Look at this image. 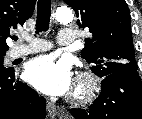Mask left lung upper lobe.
Masks as SVG:
<instances>
[{"label":"left lung upper lobe","mask_w":142,"mask_h":119,"mask_svg":"<svg viewBox=\"0 0 142 119\" xmlns=\"http://www.w3.org/2000/svg\"><path fill=\"white\" fill-rule=\"evenodd\" d=\"M78 17L80 28H89L82 57L103 78L124 69H138L133 48L131 19L125 0H65Z\"/></svg>","instance_id":"5c2ea615"}]
</instances>
